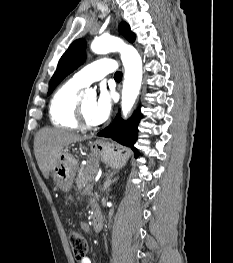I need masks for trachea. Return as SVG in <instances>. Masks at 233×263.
<instances>
[{
  "mask_svg": "<svg viewBox=\"0 0 233 263\" xmlns=\"http://www.w3.org/2000/svg\"><path fill=\"white\" fill-rule=\"evenodd\" d=\"M114 78H115L116 80H121V79H122V72L117 71V72L115 73V75H114Z\"/></svg>",
  "mask_w": 233,
  "mask_h": 263,
  "instance_id": "3493384b",
  "label": "trachea"
}]
</instances>
